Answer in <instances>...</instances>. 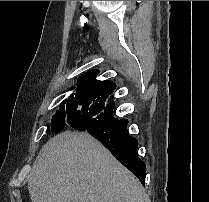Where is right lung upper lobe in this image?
I'll list each match as a JSON object with an SVG mask.
<instances>
[{
    "mask_svg": "<svg viewBox=\"0 0 209 202\" xmlns=\"http://www.w3.org/2000/svg\"><path fill=\"white\" fill-rule=\"evenodd\" d=\"M99 73V71L98 70H91V71H89V72H87V73H85V74H83L84 76H86V75H91L93 78L92 79H95V77L97 76V74Z\"/></svg>",
    "mask_w": 209,
    "mask_h": 202,
    "instance_id": "cb5924a9",
    "label": "right lung upper lobe"
}]
</instances>
